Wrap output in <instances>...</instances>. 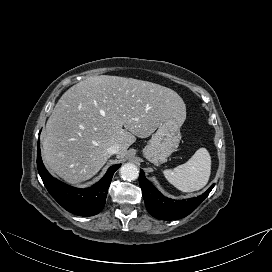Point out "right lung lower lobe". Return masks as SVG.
<instances>
[{"instance_id": "1", "label": "right lung lower lobe", "mask_w": 272, "mask_h": 272, "mask_svg": "<svg viewBox=\"0 0 272 272\" xmlns=\"http://www.w3.org/2000/svg\"><path fill=\"white\" fill-rule=\"evenodd\" d=\"M120 166L121 164L111 166L104 177L90 188H74L53 178L48 173L41 159L38 141L37 168L45 187L64 209L79 216H93L103 209L112 177Z\"/></svg>"}]
</instances>
